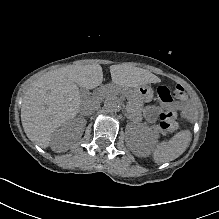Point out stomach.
I'll return each mask as SVG.
<instances>
[{"label":"stomach","instance_id":"stomach-1","mask_svg":"<svg viewBox=\"0 0 219 219\" xmlns=\"http://www.w3.org/2000/svg\"><path fill=\"white\" fill-rule=\"evenodd\" d=\"M135 92L137 93L139 98L143 100H147L152 94V90L148 86H140L137 89H135Z\"/></svg>","mask_w":219,"mask_h":219}]
</instances>
